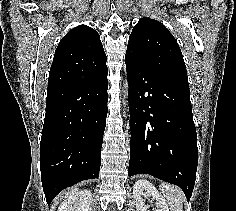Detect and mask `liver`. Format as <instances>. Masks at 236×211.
Wrapping results in <instances>:
<instances>
[{"label":"liver","mask_w":236,"mask_h":211,"mask_svg":"<svg viewBox=\"0 0 236 211\" xmlns=\"http://www.w3.org/2000/svg\"><path fill=\"white\" fill-rule=\"evenodd\" d=\"M76 191H77V188H72L71 190H68V192H65V196L74 194V193H76ZM63 197H64V196L62 195V196L60 197V200H62Z\"/></svg>","instance_id":"1"}]
</instances>
